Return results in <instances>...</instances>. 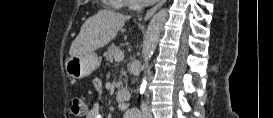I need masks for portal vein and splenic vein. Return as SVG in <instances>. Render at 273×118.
<instances>
[{
    "label": "portal vein and splenic vein",
    "instance_id": "obj_1",
    "mask_svg": "<svg viewBox=\"0 0 273 118\" xmlns=\"http://www.w3.org/2000/svg\"><path fill=\"white\" fill-rule=\"evenodd\" d=\"M123 59H124V53L123 52L120 51V52L115 53L114 60L116 62H121V61H123Z\"/></svg>",
    "mask_w": 273,
    "mask_h": 118
}]
</instances>
